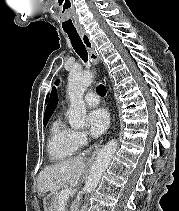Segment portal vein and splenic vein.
Here are the masks:
<instances>
[{
	"label": "portal vein and splenic vein",
	"instance_id": "18ae733b",
	"mask_svg": "<svg viewBox=\"0 0 179 211\" xmlns=\"http://www.w3.org/2000/svg\"><path fill=\"white\" fill-rule=\"evenodd\" d=\"M72 194V190L70 188L64 189L60 192L59 200L66 201Z\"/></svg>",
	"mask_w": 179,
	"mask_h": 211
}]
</instances>
